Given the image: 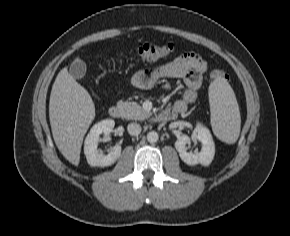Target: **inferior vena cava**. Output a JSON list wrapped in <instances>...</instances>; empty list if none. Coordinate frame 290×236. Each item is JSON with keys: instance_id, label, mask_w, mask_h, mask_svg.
<instances>
[{"instance_id": "1", "label": "inferior vena cava", "mask_w": 290, "mask_h": 236, "mask_svg": "<svg viewBox=\"0 0 290 236\" xmlns=\"http://www.w3.org/2000/svg\"><path fill=\"white\" fill-rule=\"evenodd\" d=\"M127 130L130 135H138L141 132V126L137 123H130L127 126Z\"/></svg>"}]
</instances>
